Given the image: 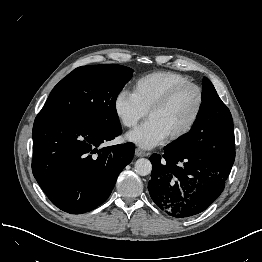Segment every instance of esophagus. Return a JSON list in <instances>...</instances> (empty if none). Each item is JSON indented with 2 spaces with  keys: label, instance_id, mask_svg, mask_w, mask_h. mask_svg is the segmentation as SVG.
<instances>
[{
  "label": "esophagus",
  "instance_id": "obj_1",
  "mask_svg": "<svg viewBox=\"0 0 262 262\" xmlns=\"http://www.w3.org/2000/svg\"><path fill=\"white\" fill-rule=\"evenodd\" d=\"M135 155L137 157H144V156H148V153L145 152L144 150L140 149V148H136L135 149Z\"/></svg>",
  "mask_w": 262,
  "mask_h": 262
}]
</instances>
